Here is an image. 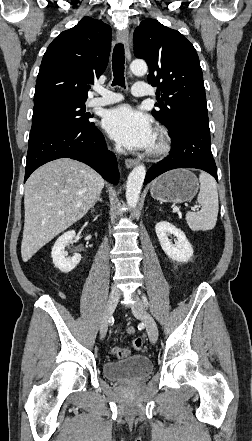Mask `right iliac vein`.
Wrapping results in <instances>:
<instances>
[{
	"label": "right iliac vein",
	"instance_id": "obj_1",
	"mask_svg": "<svg viewBox=\"0 0 252 441\" xmlns=\"http://www.w3.org/2000/svg\"><path fill=\"white\" fill-rule=\"evenodd\" d=\"M119 299H120V293L117 290H112L110 292L107 304L105 306L104 314L100 325L101 338H103L106 335L110 317L112 316L118 304Z\"/></svg>",
	"mask_w": 252,
	"mask_h": 441
}]
</instances>
